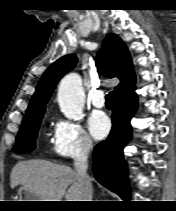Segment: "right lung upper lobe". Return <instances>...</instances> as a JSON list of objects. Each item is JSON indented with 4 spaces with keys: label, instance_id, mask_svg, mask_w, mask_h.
Masks as SVG:
<instances>
[{
    "label": "right lung upper lobe",
    "instance_id": "obj_1",
    "mask_svg": "<svg viewBox=\"0 0 176 211\" xmlns=\"http://www.w3.org/2000/svg\"><path fill=\"white\" fill-rule=\"evenodd\" d=\"M77 62L75 54H68L54 62L41 77L24 117L45 111L55 85L60 78L72 70ZM99 70L107 77H117L120 84L115 87V97L123 96L135 89V75L130 54L125 43L115 34H108L96 58Z\"/></svg>",
    "mask_w": 176,
    "mask_h": 211
}]
</instances>
